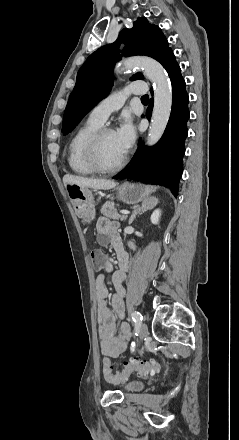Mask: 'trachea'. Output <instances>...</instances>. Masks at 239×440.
<instances>
[{
  "label": "trachea",
  "instance_id": "1",
  "mask_svg": "<svg viewBox=\"0 0 239 440\" xmlns=\"http://www.w3.org/2000/svg\"><path fill=\"white\" fill-rule=\"evenodd\" d=\"M142 101L145 102L148 100V95H143V97H141Z\"/></svg>",
  "mask_w": 239,
  "mask_h": 440
}]
</instances>
